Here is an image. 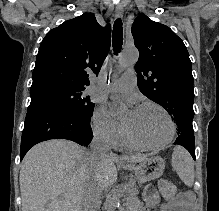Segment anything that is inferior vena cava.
Instances as JSON below:
<instances>
[{
	"label": "inferior vena cava",
	"mask_w": 219,
	"mask_h": 211,
	"mask_svg": "<svg viewBox=\"0 0 219 211\" xmlns=\"http://www.w3.org/2000/svg\"><path fill=\"white\" fill-rule=\"evenodd\" d=\"M91 151H89V161L90 165H93L90 167L91 171H102L103 167L105 165L104 161H101V159H107V157H110L111 153V147L108 143V137L104 135V133H101V135H96V137H93L90 145ZM92 188H86L85 192L87 193L85 196L81 198V211H96L95 208V202L93 197H89L90 195L88 193H93L95 186L93 183L90 185Z\"/></svg>",
	"instance_id": "1"
}]
</instances>
